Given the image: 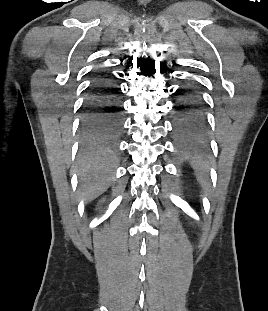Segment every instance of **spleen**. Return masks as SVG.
Segmentation results:
<instances>
[{
	"instance_id": "1",
	"label": "spleen",
	"mask_w": 268,
	"mask_h": 311,
	"mask_svg": "<svg viewBox=\"0 0 268 311\" xmlns=\"http://www.w3.org/2000/svg\"><path fill=\"white\" fill-rule=\"evenodd\" d=\"M191 166L195 170L198 182L203 188H206L208 186V164L202 158L194 157L191 159Z\"/></svg>"
}]
</instances>
